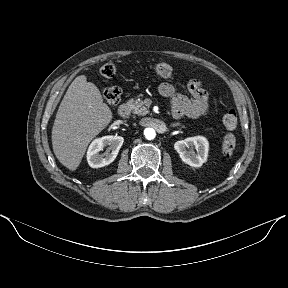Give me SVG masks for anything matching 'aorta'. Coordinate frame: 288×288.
<instances>
[{"mask_svg":"<svg viewBox=\"0 0 288 288\" xmlns=\"http://www.w3.org/2000/svg\"><path fill=\"white\" fill-rule=\"evenodd\" d=\"M144 135L146 139L152 140L155 138L156 132L153 128L148 127L144 130Z\"/></svg>","mask_w":288,"mask_h":288,"instance_id":"762f6f07","label":"aorta"}]
</instances>
